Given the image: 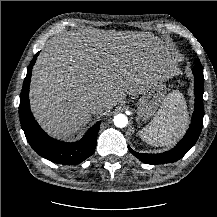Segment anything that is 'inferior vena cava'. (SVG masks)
I'll return each mask as SVG.
<instances>
[{
	"label": "inferior vena cava",
	"mask_w": 217,
	"mask_h": 217,
	"mask_svg": "<svg viewBox=\"0 0 217 217\" xmlns=\"http://www.w3.org/2000/svg\"><path fill=\"white\" fill-rule=\"evenodd\" d=\"M105 104L104 102L97 101V102H91L89 105V110L93 114L100 113L104 110Z\"/></svg>",
	"instance_id": "1"
}]
</instances>
